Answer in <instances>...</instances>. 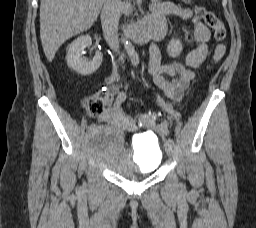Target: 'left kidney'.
<instances>
[{"instance_id": "5707ae66", "label": "left kidney", "mask_w": 256, "mask_h": 228, "mask_svg": "<svg viewBox=\"0 0 256 228\" xmlns=\"http://www.w3.org/2000/svg\"><path fill=\"white\" fill-rule=\"evenodd\" d=\"M182 44L181 41L178 39H172L167 47L169 56L175 58L180 55L182 51Z\"/></svg>"}]
</instances>
